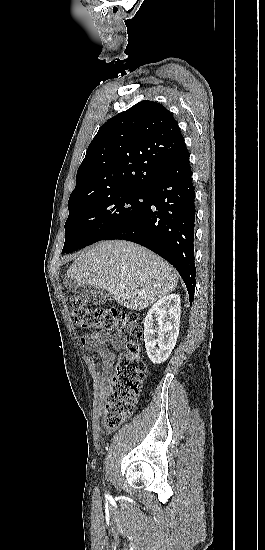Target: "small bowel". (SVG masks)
I'll list each match as a JSON object with an SVG mask.
<instances>
[{
    "mask_svg": "<svg viewBox=\"0 0 265 550\" xmlns=\"http://www.w3.org/2000/svg\"><path fill=\"white\" fill-rule=\"evenodd\" d=\"M82 345L88 350L98 353L102 359L105 366L112 364L114 360V353L109 350L108 346L111 345L114 349H121L125 342L126 338L124 335H109V334H88L83 335L80 338ZM95 379L99 384L103 382V376L101 372L97 369L94 370ZM98 414H101V410H98Z\"/></svg>",
    "mask_w": 265,
    "mask_h": 550,
    "instance_id": "c3829d8e",
    "label": "small bowel"
}]
</instances>
